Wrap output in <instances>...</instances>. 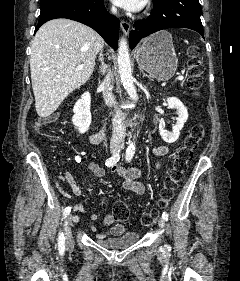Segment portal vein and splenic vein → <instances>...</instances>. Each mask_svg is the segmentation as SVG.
<instances>
[{
  "label": "portal vein and splenic vein",
  "mask_w": 240,
  "mask_h": 281,
  "mask_svg": "<svg viewBox=\"0 0 240 281\" xmlns=\"http://www.w3.org/2000/svg\"><path fill=\"white\" fill-rule=\"evenodd\" d=\"M83 69V66H78L77 67V70H82ZM179 80H183V76H178L177 78H176V81H179Z\"/></svg>",
  "instance_id": "obj_1"
}]
</instances>
